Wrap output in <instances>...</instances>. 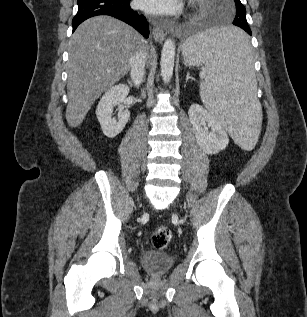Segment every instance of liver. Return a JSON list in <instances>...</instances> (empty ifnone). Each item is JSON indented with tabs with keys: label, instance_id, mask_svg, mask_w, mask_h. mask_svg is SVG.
Wrapping results in <instances>:
<instances>
[{
	"label": "liver",
	"instance_id": "1",
	"mask_svg": "<svg viewBox=\"0 0 307 317\" xmlns=\"http://www.w3.org/2000/svg\"><path fill=\"white\" fill-rule=\"evenodd\" d=\"M141 42L135 29L113 17L96 16L79 25L69 41V126H79L95 100L125 76Z\"/></svg>",
	"mask_w": 307,
	"mask_h": 317
}]
</instances>
